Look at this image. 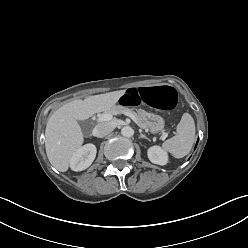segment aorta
<instances>
[{
    "label": "aorta",
    "instance_id": "1",
    "mask_svg": "<svg viewBox=\"0 0 248 248\" xmlns=\"http://www.w3.org/2000/svg\"><path fill=\"white\" fill-rule=\"evenodd\" d=\"M121 134H122L124 137H132L133 134H134V130H133L130 126H124V127L121 129Z\"/></svg>",
    "mask_w": 248,
    "mask_h": 248
}]
</instances>
